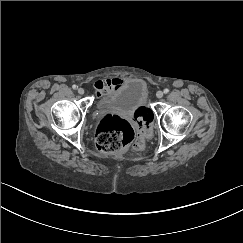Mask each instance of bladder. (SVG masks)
Instances as JSON below:
<instances>
[{"label": "bladder", "mask_w": 243, "mask_h": 243, "mask_svg": "<svg viewBox=\"0 0 243 243\" xmlns=\"http://www.w3.org/2000/svg\"><path fill=\"white\" fill-rule=\"evenodd\" d=\"M147 92V84L143 79L127 78L118 88L100 98L95 107L102 112L136 115L145 103Z\"/></svg>", "instance_id": "31cf9c89"}]
</instances>
